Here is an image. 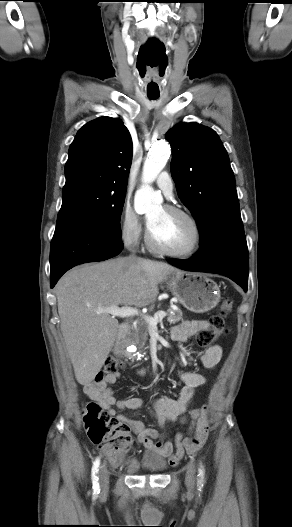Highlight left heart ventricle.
Wrapping results in <instances>:
<instances>
[{
    "label": "left heart ventricle",
    "instance_id": "b2bd125f",
    "mask_svg": "<svg viewBox=\"0 0 292 527\" xmlns=\"http://www.w3.org/2000/svg\"><path fill=\"white\" fill-rule=\"evenodd\" d=\"M148 218L152 220L151 235L159 245L171 250H184L191 245L194 233L184 217L158 207L149 212Z\"/></svg>",
    "mask_w": 292,
    "mask_h": 527
}]
</instances>
